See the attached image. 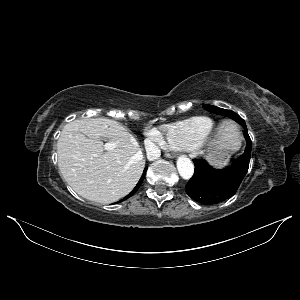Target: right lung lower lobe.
Returning a JSON list of instances; mask_svg holds the SVG:
<instances>
[{
  "label": "right lung lower lobe",
  "mask_w": 300,
  "mask_h": 300,
  "mask_svg": "<svg viewBox=\"0 0 300 300\" xmlns=\"http://www.w3.org/2000/svg\"><path fill=\"white\" fill-rule=\"evenodd\" d=\"M146 170H147V167L144 169V173H143V175H142V177L140 178V180H139V182H138V184L136 185V187L134 188L136 191L138 190V188L140 187V185H141V183H142V181H143V179H144V176H145V174H146ZM133 189V190H134ZM132 190V191H133ZM131 191V193L129 194V195H127L124 199H126V198H129V197H131L135 192H132ZM123 199V200H124ZM122 201V200H121Z\"/></svg>",
  "instance_id": "right-lung-lower-lobe-1"
}]
</instances>
